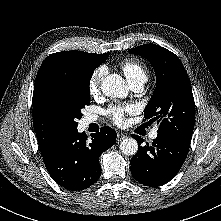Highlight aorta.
Here are the masks:
<instances>
[{
  "label": "aorta",
  "mask_w": 221,
  "mask_h": 221,
  "mask_svg": "<svg viewBox=\"0 0 221 221\" xmlns=\"http://www.w3.org/2000/svg\"><path fill=\"white\" fill-rule=\"evenodd\" d=\"M103 94L112 98H124L128 94V87L125 80L118 74H110L101 82ZM120 150L123 154L133 156L138 151V143L133 138H125L120 143Z\"/></svg>",
  "instance_id": "1"
}]
</instances>
